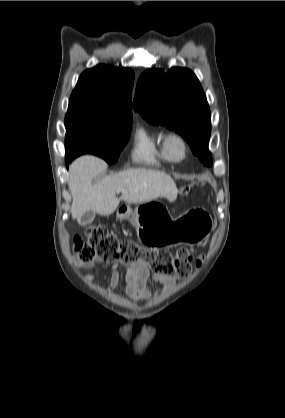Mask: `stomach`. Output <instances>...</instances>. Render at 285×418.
<instances>
[{"instance_id": "stomach-1", "label": "stomach", "mask_w": 285, "mask_h": 418, "mask_svg": "<svg viewBox=\"0 0 285 418\" xmlns=\"http://www.w3.org/2000/svg\"><path fill=\"white\" fill-rule=\"evenodd\" d=\"M141 205L132 212L127 206L124 212H118L120 219L129 220L136 228L137 236L145 244H152L164 237L169 244H194L206 239L212 231L213 222L210 215L202 209H193L177 218L161 220L160 214L146 212Z\"/></svg>"}]
</instances>
